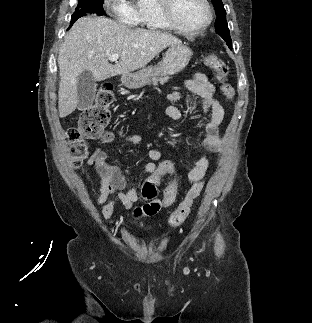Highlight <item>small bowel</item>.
I'll use <instances>...</instances> for the list:
<instances>
[{
  "label": "small bowel",
  "instance_id": "c3829d8e",
  "mask_svg": "<svg viewBox=\"0 0 312 323\" xmlns=\"http://www.w3.org/2000/svg\"><path fill=\"white\" fill-rule=\"evenodd\" d=\"M184 88L197 95L202 102V112L206 120V136L204 145L210 153H218L222 148V136L220 128L224 119V108L215 96V86L208 80L202 72H196L192 78L184 83ZM167 99L171 103L180 102L183 99V88L172 89ZM165 115L173 121H180L183 117L182 112L175 106H168ZM128 142L134 145L142 142V137L132 135L128 137ZM150 162L145 165V171L149 176L151 167L154 165V158H161L162 153L157 148H150L147 151ZM210 164V156H202L188 172V180L192 183L200 181L206 174ZM87 165L92 169L99 181V196L97 205L101 207V216L104 220H111L115 205L121 203L125 210H131L134 203L138 200V189L132 187L126 190L127 179L125 175L113 164L108 161L107 155L103 150L97 149L87 160ZM168 206H160V208ZM140 209L135 211V217L140 218ZM148 216V214L146 215Z\"/></svg>",
  "mask_w": 312,
  "mask_h": 323
}]
</instances>
